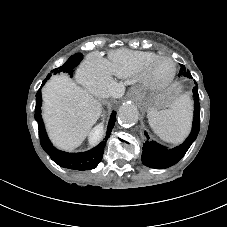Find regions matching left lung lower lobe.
I'll use <instances>...</instances> for the list:
<instances>
[{
  "label": "left lung lower lobe",
  "instance_id": "0a47b994",
  "mask_svg": "<svg viewBox=\"0 0 227 227\" xmlns=\"http://www.w3.org/2000/svg\"><path fill=\"white\" fill-rule=\"evenodd\" d=\"M197 86H194L192 92L194 97V118L192 131L188 138L178 147L168 149L154 141L147 140L143 144L142 163L151 168H168L176 164L187 152L189 147L197 138L200 129V105Z\"/></svg>",
  "mask_w": 227,
  "mask_h": 227
}]
</instances>
